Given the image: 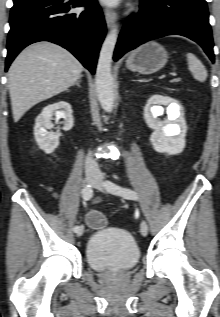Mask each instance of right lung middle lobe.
<instances>
[{
    "mask_svg": "<svg viewBox=\"0 0 220 317\" xmlns=\"http://www.w3.org/2000/svg\"><path fill=\"white\" fill-rule=\"evenodd\" d=\"M14 2H19V1H21V0H13Z\"/></svg>",
    "mask_w": 220,
    "mask_h": 317,
    "instance_id": "obj_1",
    "label": "right lung middle lobe"
}]
</instances>
